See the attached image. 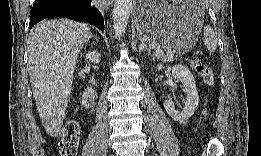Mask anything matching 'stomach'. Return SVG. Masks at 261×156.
Segmentation results:
<instances>
[{
	"label": "stomach",
	"mask_w": 261,
	"mask_h": 156,
	"mask_svg": "<svg viewBox=\"0 0 261 156\" xmlns=\"http://www.w3.org/2000/svg\"><path fill=\"white\" fill-rule=\"evenodd\" d=\"M203 9L197 2H140L134 12L137 31L149 43L167 52L183 54L198 40Z\"/></svg>",
	"instance_id": "1"
}]
</instances>
